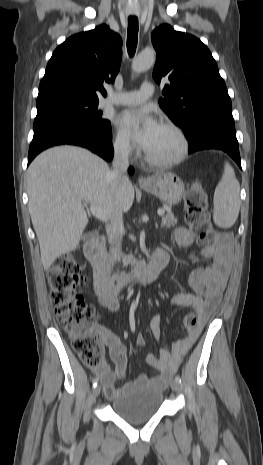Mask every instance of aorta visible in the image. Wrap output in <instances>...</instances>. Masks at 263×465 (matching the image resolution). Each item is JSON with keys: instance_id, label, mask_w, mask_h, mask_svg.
Masks as SVG:
<instances>
[{"instance_id": "1", "label": "aorta", "mask_w": 263, "mask_h": 465, "mask_svg": "<svg viewBox=\"0 0 263 465\" xmlns=\"http://www.w3.org/2000/svg\"><path fill=\"white\" fill-rule=\"evenodd\" d=\"M156 56L154 52H141L133 60L132 70L136 73L143 72L155 64Z\"/></svg>"}]
</instances>
